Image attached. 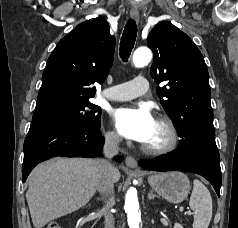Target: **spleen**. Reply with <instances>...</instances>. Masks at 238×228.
Here are the masks:
<instances>
[{
	"label": "spleen",
	"mask_w": 238,
	"mask_h": 228,
	"mask_svg": "<svg viewBox=\"0 0 238 228\" xmlns=\"http://www.w3.org/2000/svg\"><path fill=\"white\" fill-rule=\"evenodd\" d=\"M189 205L194 213L193 228H208L212 218V198L205 185L195 179Z\"/></svg>",
	"instance_id": "obj_1"
}]
</instances>
